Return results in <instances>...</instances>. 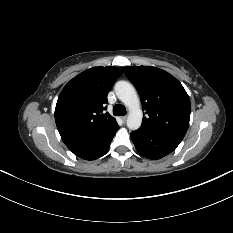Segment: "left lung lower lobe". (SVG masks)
Here are the masks:
<instances>
[{
    "label": "left lung lower lobe",
    "instance_id": "obj_1",
    "mask_svg": "<svg viewBox=\"0 0 233 233\" xmlns=\"http://www.w3.org/2000/svg\"><path fill=\"white\" fill-rule=\"evenodd\" d=\"M137 151L146 158L160 159L176 149L183 138L140 128L131 133Z\"/></svg>",
    "mask_w": 233,
    "mask_h": 233
}]
</instances>
